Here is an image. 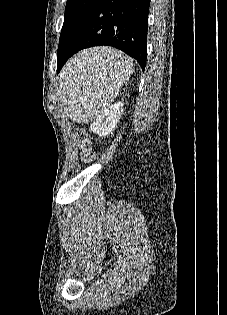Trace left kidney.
<instances>
[{"label":"left kidney","instance_id":"obj_1","mask_svg":"<svg viewBox=\"0 0 227 315\" xmlns=\"http://www.w3.org/2000/svg\"><path fill=\"white\" fill-rule=\"evenodd\" d=\"M123 103L117 102L104 110L90 125L91 131L100 137L109 135L117 125L122 113Z\"/></svg>","mask_w":227,"mask_h":315}]
</instances>
